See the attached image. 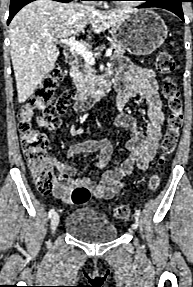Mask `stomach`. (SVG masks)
<instances>
[{"label":"stomach","mask_w":193,"mask_h":287,"mask_svg":"<svg viewBox=\"0 0 193 287\" xmlns=\"http://www.w3.org/2000/svg\"><path fill=\"white\" fill-rule=\"evenodd\" d=\"M168 29L164 20L150 10H137L121 19L112 29L115 42H120L133 55L146 56L160 47Z\"/></svg>","instance_id":"1"}]
</instances>
